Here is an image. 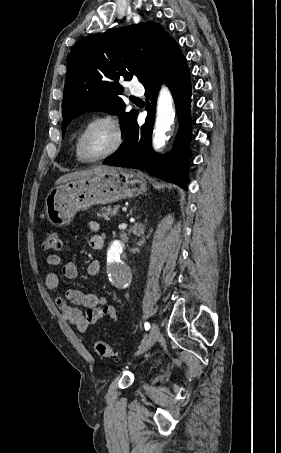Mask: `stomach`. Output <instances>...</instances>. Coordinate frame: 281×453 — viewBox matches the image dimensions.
Segmentation results:
<instances>
[{
    "mask_svg": "<svg viewBox=\"0 0 281 453\" xmlns=\"http://www.w3.org/2000/svg\"><path fill=\"white\" fill-rule=\"evenodd\" d=\"M145 190L146 180L141 172L129 168L106 170L51 188L45 198V214L54 227H64L78 210H87L93 204L133 198Z\"/></svg>",
    "mask_w": 281,
    "mask_h": 453,
    "instance_id": "1",
    "label": "stomach"
}]
</instances>
